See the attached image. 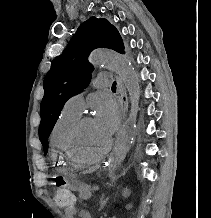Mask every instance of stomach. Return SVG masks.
I'll list each match as a JSON object with an SVG mask.
<instances>
[{"mask_svg":"<svg viewBox=\"0 0 211 218\" xmlns=\"http://www.w3.org/2000/svg\"><path fill=\"white\" fill-rule=\"evenodd\" d=\"M65 184L69 189L74 190V191L79 190L83 186V183L77 179L76 175L66 176Z\"/></svg>","mask_w":211,"mask_h":218,"instance_id":"0dacf381","label":"stomach"}]
</instances>
